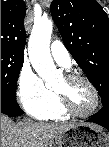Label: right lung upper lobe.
<instances>
[{
	"label": "right lung upper lobe",
	"mask_w": 109,
	"mask_h": 147,
	"mask_svg": "<svg viewBox=\"0 0 109 147\" xmlns=\"http://www.w3.org/2000/svg\"><path fill=\"white\" fill-rule=\"evenodd\" d=\"M26 5L23 0L1 1V49L15 55H24L26 32L24 17Z\"/></svg>",
	"instance_id": "obj_1"
}]
</instances>
